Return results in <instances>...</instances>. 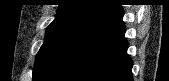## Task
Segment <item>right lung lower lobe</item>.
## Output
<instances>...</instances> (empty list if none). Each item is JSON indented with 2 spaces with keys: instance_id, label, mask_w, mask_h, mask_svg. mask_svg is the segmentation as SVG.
<instances>
[{
  "instance_id": "98d812e1",
  "label": "right lung lower lobe",
  "mask_w": 169,
  "mask_h": 81,
  "mask_svg": "<svg viewBox=\"0 0 169 81\" xmlns=\"http://www.w3.org/2000/svg\"><path fill=\"white\" fill-rule=\"evenodd\" d=\"M120 7L86 22L33 73V81H133Z\"/></svg>"
}]
</instances>
